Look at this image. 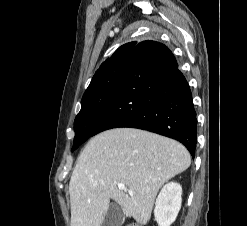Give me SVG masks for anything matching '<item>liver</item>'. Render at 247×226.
<instances>
[{
	"label": "liver",
	"mask_w": 247,
	"mask_h": 226,
	"mask_svg": "<svg viewBox=\"0 0 247 226\" xmlns=\"http://www.w3.org/2000/svg\"><path fill=\"white\" fill-rule=\"evenodd\" d=\"M190 163L182 144L148 131L115 128L96 135L78 157L70 179L71 226H101L110 199L126 217L146 224L159 189Z\"/></svg>",
	"instance_id": "obj_1"
}]
</instances>
